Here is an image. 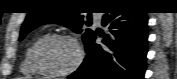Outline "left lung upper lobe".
<instances>
[{
  "label": "left lung upper lobe",
  "instance_id": "obj_1",
  "mask_svg": "<svg viewBox=\"0 0 177 79\" xmlns=\"http://www.w3.org/2000/svg\"><path fill=\"white\" fill-rule=\"evenodd\" d=\"M38 2L36 7L30 11L26 17L25 22L22 25L19 40H22L30 31L37 28L40 25L45 23H58L64 25L66 27L71 28L76 33L81 32V27L84 24L83 16L80 15V8L77 7L72 10H52L50 7L56 4H62L57 0H41ZM79 2L76 4H83L87 1H75ZM94 32L90 29H87L83 34L82 38L85 44V48H87L91 38L93 37Z\"/></svg>",
  "mask_w": 177,
  "mask_h": 79
}]
</instances>
